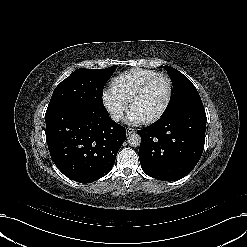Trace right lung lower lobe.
I'll return each mask as SVG.
<instances>
[{
    "instance_id": "right-lung-lower-lobe-1",
    "label": "right lung lower lobe",
    "mask_w": 247,
    "mask_h": 247,
    "mask_svg": "<svg viewBox=\"0 0 247 247\" xmlns=\"http://www.w3.org/2000/svg\"><path fill=\"white\" fill-rule=\"evenodd\" d=\"M45 121L53 162L80 183L108 174L126 139L125 128L109 118L103 105H62L48 109Z\"/></svg>"
}]
</instances>
